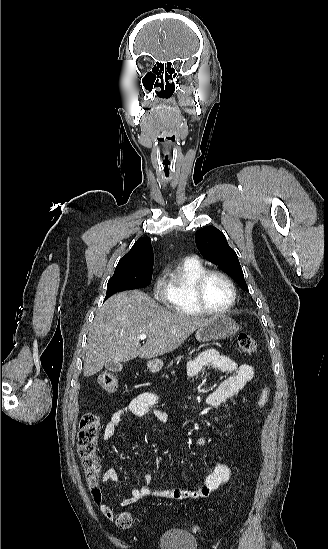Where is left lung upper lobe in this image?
<instances>
[{"mask_svg": "<svg viewBox=\"0 0 328 549\" xmlns=\"http://www.w3.org/2000/svg\"><path fill=\"white\" fill-rule=\"evenodd\" d=\"M195 241L200 253L227 273L239 286L248 291L236 252L228 245L225 235L214 226L197 231Z\"/></svg>", "mask_w": 328, "mask_h": 549, "instance_id": "obj_1", "label": "left lung upper lobe"}]
</instances>
